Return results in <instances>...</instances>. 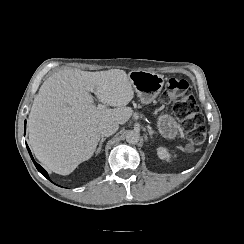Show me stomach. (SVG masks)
<instances>
[{
	"instance_id": "0dacf381",
	"label": "stomach",
	"mask_w": 244,
	"mask_h": 244,
	"mask_svg": "<svg viewBox=\"0 0 244 244\" xmlns=\"http://www.w3.org/2000/svg\"><path fill=\"white\" fill-rule=\"evenodd\" d=\"M128 78L143 104L151 103L159 95L164 85L163 75L145 70H132L129 72ZM157 126L164 138L174 139L178 134V124L170 115H160Z\"/></svg>"
}]
</instances>
